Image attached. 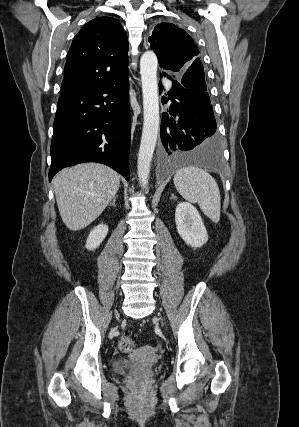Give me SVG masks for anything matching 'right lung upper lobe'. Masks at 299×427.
Listing matches in <instances>:
<instances>
[{
	"label": "right lung upper lobe",
	"instance_id": "cb5924a9",
	"mask_svg": "<svg viewBox=\"0 0 299 427\" xmlns=\"http://www.w3.org/2000/svg\"><path fill=\"white\" fill-rule=\"evenodd\" d=\"M127 36L118 20L97 17L76 34L65 64L60 96L111 80L128 70Z\"/></svg>",
	"mask_w": 299,
	"mask_h": 427
}]
</instances>
